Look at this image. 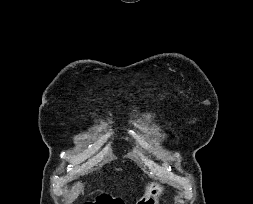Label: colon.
<instances>
[{"mask_svg":"<svg viewBox=\"0 0 253 204\" xmlns=\"http://www.w3.org/2000/svg\"><path fill=\"white\" fill-rule=\"evenodd\" d=\"M114 201L107 193H101L93 200L84 202L83 204H114ZM115 204H123L122 202H115Z\"/></svg>","mask_w":253,"mask_h":204,"instance_id":"colon-1","label":"colon"}]
</instances>
